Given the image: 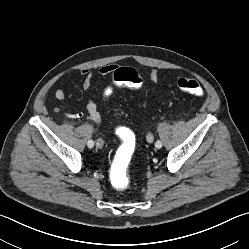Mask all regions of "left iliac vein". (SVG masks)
Returning a JSON list of instances; mask_svg holds the SVG:
<instances>
[{
	"label": "left iliac vein",
	"instance_id": "1",
	"mask_svg": "<svg viewBox=\"0 0 249 249\" xmlns=\"http://www.w3.org/2000/svg\"><path fill=\"white\" fill-rule=\"evenodd\" d=\"M146 138L149 143H152L154 141V136L151 133H149Z\"/></svg>",
	"mask_w": 249,
	"mask_h": 249
}]
</instances>
